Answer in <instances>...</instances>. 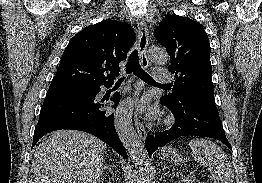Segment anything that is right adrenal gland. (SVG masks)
<instances>
[{"mask_svg": "<svg viewBox=\"0 0 262 183\" xmlns=\"http://www.w3.org/2000/svg\"><path fill=\"white\" fill-rule=\"evenodd\" d=\"M104 169L108 170L110 172V174L112 175L111 179H113L115 177L113 168H111V166L108 165L105 161H104Z\"/></svg>", "mask_w": 262, "mask_h": 183, "instance_id": "obj_1", "label": "right adrenal gland"}]
</instances>
